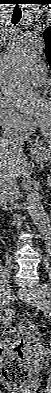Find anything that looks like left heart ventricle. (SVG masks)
<instances>
[{"label":"left heart ventricle","mask_w":51,"mask_h":393,"mask_svg":"<svg viewBox=\"0 0 51 393\" xmlns=\"http://www.w3.org/2000/svg\"><path fill=\"white\" fill-rule=\"evenodd\" d=\"M36 117L46 130H51V103L42 102L36 111Z\"/></svg>","instance_id":"1"}]
</instances>
